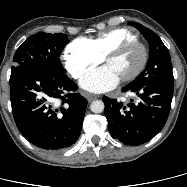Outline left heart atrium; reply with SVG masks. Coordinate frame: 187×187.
Returning a JSON list of instances; mask_svg holds the SVG:
<instances>
[{"label": "left heart atrium", "instance_id": "left-heart-atrium-1", "mask_svg": "<svg viewBox=\"0 0 187 187\" xmlns=\"http://www.w3.org/2000/svg\"><path fill=\"white\" fill-rule=\"evenodd\" d=\"M120 81V77L113 69L104 65L87 74L81 81L80 86L93 93H102L114 88Z\"/></svg>", "mask_w": 187, "mask_h": 187}]
</instances>
